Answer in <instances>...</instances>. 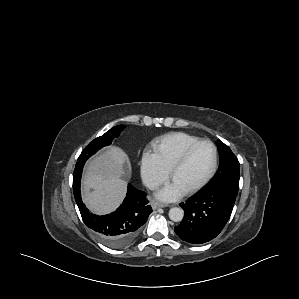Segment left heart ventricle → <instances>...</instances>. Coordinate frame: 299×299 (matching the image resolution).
Here are the masks:
<instances>
[{"instance_id": "left-heart-ventricle-1", "label": "left heart ventricle", "mask_w": 299, "mask_h": 299, "mask_svg": "<svg viewBox=\"0 0 299 299\" xmlns=\"http://www.w3.org/2000/svg\"><path fill=\"white\" fill-rule=\"evenodd\" d=\"M214 161V151L210 144L198 146L190 155L187 162L181 167L173 178L183 191L196 185L210 172Z\"/></svg>"}]
</instances>
